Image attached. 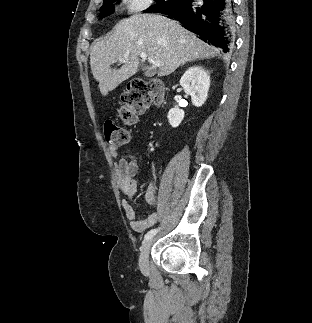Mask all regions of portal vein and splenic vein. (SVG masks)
Instances as JSON below:
<instances>
[{
	"label": "portal vein and splenic vein",
	"instance_id": "portal-vein-and-splenic-vein-1",
	"mask_svg": "<svg viewBox=\"0 0 312 323\" xmlns=\"http://www.w3.org/2000/svg\"><path fill=\"white\" fill-rule=\"evenodd\" d=\"M126 58H128V56H126ZM126 58H121L120 62H125ZM140 58H142V60H149V62H152V60H150V58H148L147 54H145V52H142V54H140ZM154 68H159L160 66V62H152Z\"/></svg>",
	"mask_w": 312,
	"mask_h": 323
}]
</instances>
